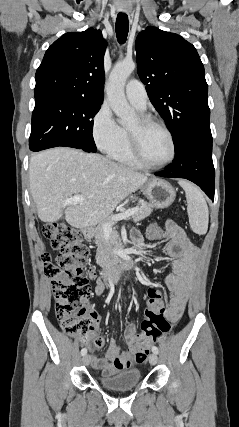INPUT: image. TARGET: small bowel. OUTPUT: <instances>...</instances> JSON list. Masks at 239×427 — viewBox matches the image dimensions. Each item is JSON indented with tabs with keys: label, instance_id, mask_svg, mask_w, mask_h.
<instances>
[{
	"label": "small bowel",
	"instance_id": "small-bowel-1",
	"mask_svg": "<svg viewBox=\"0 0 239 427\" xmlns=\"http://www.w3.org/2000/svg\"><path fill=\"white\" fill-rule=\"evenodd\" d=\"M166 233L169 242L166 245L165 251L173 260V263L172 271L164 278V283L172 294L165 316L170 326H174L180 320L186 307L198 249L187 238L184 230L175 222H168ZM131 240L136 247H140L143 244L142 235L136 230L131 232ZM104 290L105 281L103 279H98L95 284V293L100 296L103 294ZM92 314L95 328L98 329L101 315L94 311H92ZM92 339L94 348L96 349L102 348L105 344L103 337L92 334ZM124 340L130 347V350L122 351L116 340L111 339L105 358H100L92 354V366L100 370L103 375L107 376L130 368L133 361L136 360L133 353V347L136 341V325L133 322L126 325Z\"/></svg>",
	"mask_w": 239,
	"mask_h": 427
}]
</instances>
